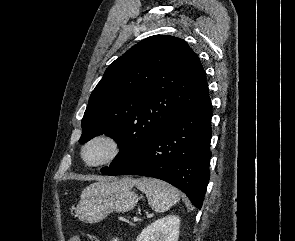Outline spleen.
I'll return each instance as SVG.
<instances>
[{
	"instance_id": "obj_1",
	"label": "spleen",
	"mask_w": 295,
	"mask_h": 241,
	"mask_svg": "<svg viewBox=\"0 0 295 241\" xmlns=\"http://www.w3.org/2000/svg\"><path fill=\"white\" fill-rule=\"evenodd\" d=\"M134 184L146 194L155 212L163 213L180 200V192L164 181L143 177L135 180Z\"/></svg>"
}]
</instances>
